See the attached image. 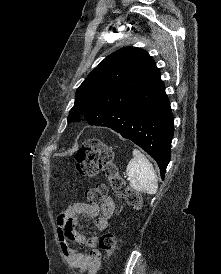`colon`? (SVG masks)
<instances>
[{
  "label": "colon",
  "instance_id": "1",
  "mask_svg": "<svg viewBox=\"0 0 221 274\" xmlns=\"http://www.w3.org/2000/svg\"><path fill=\"white\" fill-rule=\"evenodd\" d=\"M76 168L80 175L95 178L102 172L109 180L113 193L124 199L134 209L140 208L142 197L139 192L131 189L118 173L113 161L112 149L98 139H90L83 143L75 154ZM107 186L96 183L85 190V197L91 204L102 203L107 196ZM99 248L111 260L116 246V238L112 233L103 234L98 242Z\"/></svg>",
  "mask_w": 221,
  "mask_h": 274
}]
</instances>
